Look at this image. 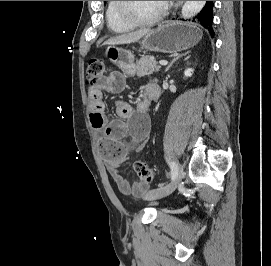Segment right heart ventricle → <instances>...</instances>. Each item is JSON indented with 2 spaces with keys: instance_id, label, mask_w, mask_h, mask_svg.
<instances>
[{
  "instance_id": "obj_1",
  "label": "right heart ventricle",
  "mask_w": 271,
  "mask_h": 266,
  "mask_svg": "<svg viewBox=\"0 0 271 266\" xmlns=\"http://www.w3.org/2000/svg\"><path fill=\"white\" fill-rule=\"evenodd\" d=\"M117 1H108L105 17L108 27L115 33H126L133 29L134 26L125 22L118 14Z\"/></svg>"
}]
</instances>
